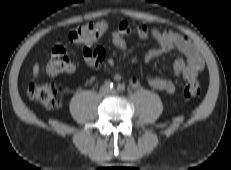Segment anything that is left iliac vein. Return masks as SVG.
<instances>
[{"label":"left iliac vein","mask_w":231,"mask_h":170,"mask_svg":"<svg viewBox=\"0 0 231 170\" xmlns=\"http://www.w3.org/2000/svg\"><path fill=\"white\" fill-rule=\"evenodd\" d=\"M115 93H116L115 90L110 91V94H115Z\"/></svg>","instance_id":"obj_1"}]
</instances>
